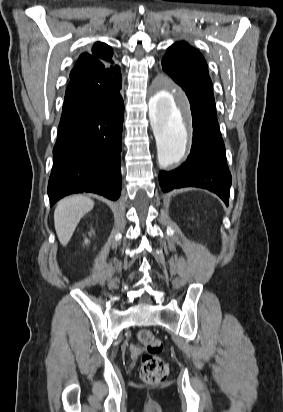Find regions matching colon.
<instances>
[{
  "label": "colon",
  "mask_w": 283,
  "mask_h": 412,
  "mask_svg": "<svg viewBox=\"0 0 283 412\" xmlns=\"http://www.w3.org/2000/svg\"><path fill=\"white\" fill-rule=\"evenodd\" d=\"M137 338L147 351L141 359L140 377L142 381L150 385L164 382L168 377L169 368L167 363L157 355L162 349V342L147 329L140 330Z\"/></svg>",
  "instance_id": "colon-1"
}]
</instances>
